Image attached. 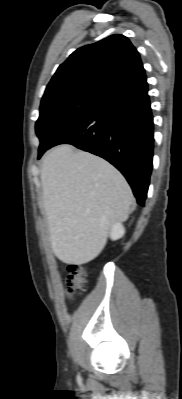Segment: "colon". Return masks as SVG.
<instances>
[{
  "label": "colon",
  "mask_w": 182,
  "mask_h": 399,
  "mask_svg": "<svg viewBox=\"0 0 182 399\" xmlns=\"http://www.w3.org/2000/svg\"><path fill=\"white\" fill-rule=\"evenodd\" d=\"M69 280L67 285V294L69 297H75L85 291L86 270L78 264L68 266Z\"/></svg>",
  "instance_id": "colon-1"
}]
</instances>
